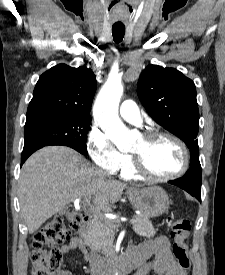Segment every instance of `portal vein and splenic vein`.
<instances>
[{
  "instance_id": "portal-vein-and-splenic-vein-1",
  "label": "portal vein and splenic vein",
  "mask_w": 225,
  "mask_h": 275,
  "mask_svg": "<svg viewBox=\"0 0 225 275\" xmlns=\"http://www.w3.org/2000/svg\"><path fill=\"white\" fill-rule=\"evenodd\" d=\"M76 201H79V199H76ZM85 204L90 205L89 198H85ZM135 222H136L135 218H132L130 220V223H132V224L135 223Z\"/></svg>"
}]
</instances>
